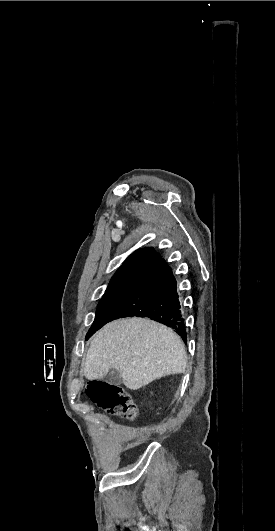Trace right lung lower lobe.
Wrapping results in <instances>:
<instances>
[{"instance_id":"98d812e1","label":"right lung lower lobe","mask_w":275,"mask_h":531,"mask_svg":"<svg viewBox=\"0 0 275 531\" xmlns=\"http://www.w3.org/2000/svg\"><path fill=\"white\" fill-rule=\"evenodd\" d=\"M176 284L171 268L158 257L107 311L98 329L118 318L148 317L175 329L185 342L187 334Z\"/></svg>"}]
</instances>
